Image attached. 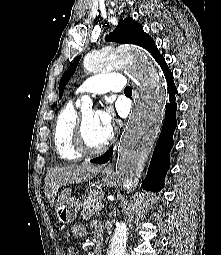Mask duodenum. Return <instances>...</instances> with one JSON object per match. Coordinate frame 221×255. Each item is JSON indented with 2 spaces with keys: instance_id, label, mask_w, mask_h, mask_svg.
<instances>
[{
  "instance_id": "1",
  "label": "duodenum",
  "mask_w": 221,
  "mask_h": 255,
  "mask_svg": "<svg viewBox=\"0 0 221 255\" xmlns=\"http://www.w3.org/2000/svg\"><path fill=\"white\" fill-rule=\"evenodd\" d=\"M102 253V242L100 238H97L94 248V255H101Z\"/></svg>"
}]
</instances>
